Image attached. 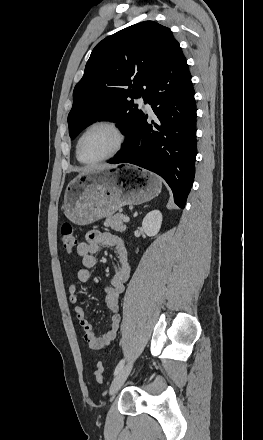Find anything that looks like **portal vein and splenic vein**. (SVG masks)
Instances as JSON below:
<instances>
[{"mask_svg": "<svg viewBox=\"0 0 263 440\" xmlns=\"http://www.w3.org/2000/svg\"><path fill=\"white\" fill-rule=\"evenodd\" d=\"M123 221L127 223V222L130 221V218H129L128 216H124V217H123Z\"/></svg>", "mask_w": 263, "mask_h": 440, "instance_id": "1", "label": "portal vein and splenic vein"}]
</instances>
